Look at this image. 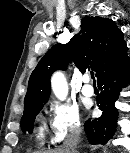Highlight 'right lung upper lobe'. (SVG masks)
<instances>
[{"label": "right lung upper lobe", "instance_id": "cb5924a9", "mask_svg": "<svg viewBox=\"0 0 130 153\" xmlns=\"http://www.w3.org/2000/svg\"><path fill=\"white\" fill-rule=\"evenodd\" d=\"M127 56L123 33L115 22L99 16L85 17L81 30L67 44L54 45L32 72L24 99V110L46 103L51 91L50 76L73 61L80 71L92 70L100 77Z\"/></svg>", "mask_w": 130, "mask_h": 153}]
</instances>
